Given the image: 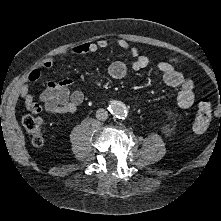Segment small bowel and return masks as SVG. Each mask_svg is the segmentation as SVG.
Listing matches in <instances>:
<instances>
[{
    "mask_svg": "<svg viewBox=\"0 0 221 221\" xmlns=\"http://www.w3.org/2000/svg\"><path fill=\"white\" fill-rule=\"evenodd\" d=\"M118 47L128 50L133 58L132 68L135 71L145 69L150 60L141 54L136 47H132L123 38H116ZM108 47L106 39H99L95 42H84L76 45L72 52L76 55H87ZM57 58H47L43 67L51 69L55 66ZM156 74L160 75L163 82L172 88L178 89L176 101L180 108H190L195 101L194 84L182 73L177 71L172 65L166 62H159L155 68ZM109 75L113 79H122L127 73V66L121 61L113 62L108 69ZM41 73L34 70L27 78V81L20 89V95L29 111L39 113L42 109L48 114H74L83 102V93L80 90H72L73 81L69 78L61 81H50L47 87L41 92L38 100L29 93V82L39 79Z\"/></svg>",
    "mask_w": 221,
    "mask_h": 221,
    "instance_id": "1",
    "label": "small bowel"
}]
</instances>
